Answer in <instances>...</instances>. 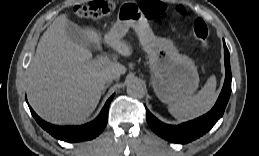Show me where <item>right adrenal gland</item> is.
<instances>
[{
    "mask_svg": "<svg viewBox=\"0 0 259 156\" xmlns=\"http://www.w3.org/2000/svg\"><path fill=\"white\" fill-rule=\"evenodd\" d=\"M110 85H111V82H109V83H107V84L105 85V87H104V89H103V92H102L103 94H105L107 88H108Z\"/></svg>",
    "mask_w": 259,
    "mask_h": 156,
    "instance_id": "2a0ac1e0",
    "label": "right adrenal gland"
}]
</instances>
